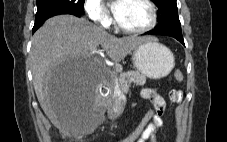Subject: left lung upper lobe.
Returning a JSON list of instances; mask_svg holds the SVG:
<instances>
[{
  "label": "left lung upper lobe",
  "mask_w": 227,
  "mask_h": 142,
  "mask_svg": "<svg viewBox=\"0 0 227 142\" xmlns=\"http://www.w3.org/2000/svg\"><path fill=\"white\" fill-rule=\"evenodd\" d=\"M157 4V29H172L181 31L176 0H153Z\"/></svg>",
  "instance_id": "5c2ea615"
}]
</instances>
